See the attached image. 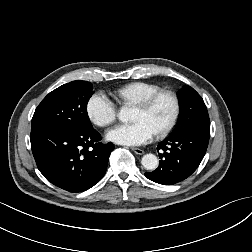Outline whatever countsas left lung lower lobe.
Wrapping results in <instances>:
<instances>
[{"instance_id":"0a47b994","label":"left lung lower lobe","mask_w":252,"mask_h":252,"mask_svg":"<svg viewBox=\"0 0 252 252\" xmlns=\"http://www.w3.org/2000/svg\"><path fill=\"white\" fill-rule=\"evenodd\" d=\"M210 128H191L168 136L157 149L161 160L156 170L145 176L159 184L172 185L188 178L201 163L208 146Z\"/></svg>"}]
</instances>
